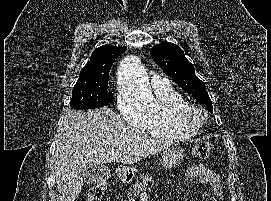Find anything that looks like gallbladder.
Returning <instances> with one entry per match:
<instances>
[{
	"label": "gallbladder",
	"instance_id": "1",
	"mask_svg": "<svg viewBox=\"0 0 271 201\" xmlns=\"http://www.w3.org/2000/svg\"><path fill=\"white\" fill-rule=\"evenodd\" d=\"M80 174L87 184H97L106 181L111 176L108 166L93 163H87L81 168Z\"/></svg>",
	"mask_w": 271,
	"mask_h": 201
}]
</instances>
